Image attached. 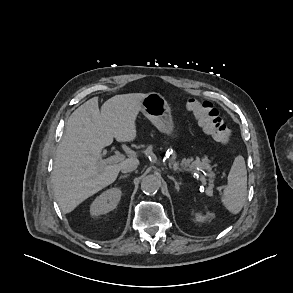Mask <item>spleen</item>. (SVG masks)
<instances>
[{
	"mask_svg": "<svg viewBox=\"0 0 293 293\" xmlns=\"http://www.w3.org/2000/svg\"><path fill=\"white\" fill-rule=\"evenodd\" d=\"M247 196V170L244 158L237 156L228 175V184L224 187L221 202L232 214H238L245 204Z\"/></svg>",
	"mask_w": 293,
	"mask_h": 293,
	"instance_id": "obj_1",
	"label": "spleen"
}]
</instances>
